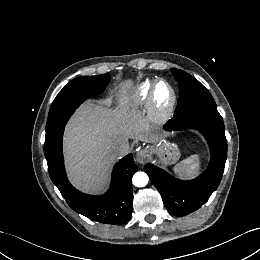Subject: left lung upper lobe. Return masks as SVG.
Returning <instances> with one entry per match:
<instances>
[{
	"label": "left lung upper lobe",
	"mask_w": 260,
	"mask_h": 260,
	"mask_svg": "<svg viewBox=\"0 0 260 260\" xmlns=\"http://www.w3.org/2000/svg\"><path fill=\"white\" fill-rule=\"evenodd\" d=\"M171 71L180 88L174 116L199 107L217 108L209 91L198 80L182 70L173 68Z\"/></svg>",
	"instance_id": "1"
}]
</instances>
